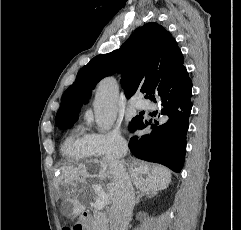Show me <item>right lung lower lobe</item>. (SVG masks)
I'll list each match as a JSON object with an SVG mask.
<instances>
[{
    "instance_id": "right-lung-lower-lobe-1",
    "label": "right lung lower lobe",
    "mask_w": 241,
    "mask_h": 230,
    "mask_svg": "<svg viewBox=\"0 0 241 230\" xmlns=\"http://www.w3.org/2000/svg\"><path fill=\"white\" fill-rule=\"evenodd\" d=\"M159 96L162 120L141 117L130 130L146 129L129 142L131 153L139 159L156 162L180 172L185 159L186 133L192 109V81L185 66L166 75L149 99Z\"/></svg>"
}]
</instances>
